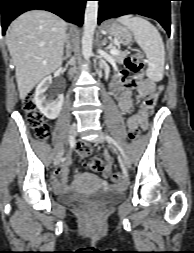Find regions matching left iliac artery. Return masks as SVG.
Wrapping results in <instances>:
<instances>
[{"instance_id": "1", "label": "left iliac artery", "mask_w": 194, "mask_h": 253, "mask_svg": "<svg viewBox=\"0 0 194 253\" xmlns=\"http://www.w3.org/2000/svg\"><path fill=\"white\" fill-rule=\"evenodd\" d=\"M106 139L109 143H112L120 151L122 156L124 155L122 148L118 146V144L114 141L112 137H110L109 135H106Z\"/></svg>"}]
</instances>
